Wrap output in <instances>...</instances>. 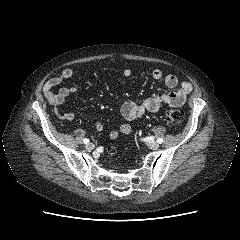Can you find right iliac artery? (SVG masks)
Listing matches in <instances>:
<instances>
[{
  "mask_svg": "<svg viewBox=\"0 0 240 240\" xmlns=\"http://www.w3.org/2000/svg\"><path fill=\"white\" fill-rule=\"evenodd\" d=\"M83 142H84L85 144H88V143H89V139L85 138V139H83Z\"/></svg>",
  "mask_w": 240,
  "mask_h": 240,
  "instance_id": "1",
  "label": "right iliac artery"
}]
</instances>
